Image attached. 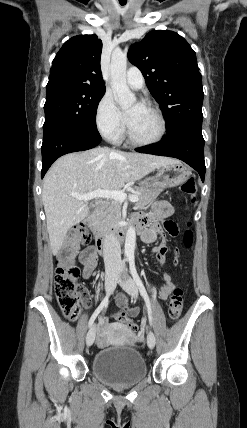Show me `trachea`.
I'll list each match as a JSON object with an SVG mask.
<instances>
[{"label": "trachea", "instance_id": "3493384b", "mask_svg": "<svg viewBox=\"0 0 247 428\" xmlns=\"http://www.w3.org/2000/svg\"><path fill=\"white\" fill-rule=\"evenodd\" d=\"M120 4H121L122 6H124V5L126 4V2H120Z\"/></svg>", "mask_w": 247, "mask_h": 428}]
</instances>
